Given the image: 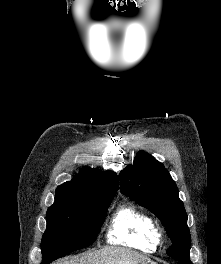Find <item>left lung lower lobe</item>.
I'll return each instance as SVG.
<instances>
[{"instance_id":"0a47b994","label":"left lung lower lobe","mask_w":221,"mask_h":264,"mask_svg":"<svg viewBox=\"0 0 221 264\" xmlns=\"http://www.w3.org/2000/svg\"><path fill=\"white\" fill-rule=\"evenodd\" d=\"M183 264H193L190 260H184L182 261Z\"/></svg>"}]
</instances>
